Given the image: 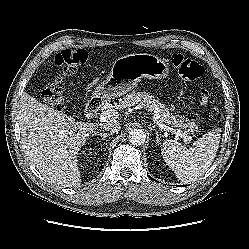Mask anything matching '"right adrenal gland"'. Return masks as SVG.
<instances>
[{
	"instance_id": "right-adrenal-gland-1",
	"label": "right adrenal gland",
	"mask_w": 249,
	"mask_h": 249,
	"mask_svg": "<svg viewBox=\"0 0 249 249\" xmlns=\"http://www.w3.org/2000/svg\"><path fill=\"white\" fill-rule=\"evenodd\" d=\"M95 135L101 136L102 140H104L107 136L112 135L111 133H99L96 132Z\"/></svg>"
}]
</instances>
